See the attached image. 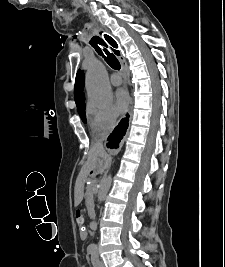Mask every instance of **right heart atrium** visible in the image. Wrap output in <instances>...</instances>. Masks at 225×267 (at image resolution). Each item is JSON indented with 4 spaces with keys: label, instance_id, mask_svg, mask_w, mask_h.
<instances>
[{
    "label": "right heart atrium",
    "instance_id": "right-heart-atrium-1",
    "mask_svg": "<svg viewBox=\"0 0 225 267\" xmlns=\"http://www.w3.org/2000/svg\"><path fill=\"white\" fill-rule=\"evenodd\" d=\"M87 116L94 134L110 132L117 123V113L109 104L89 102L87 105Z\"/></svg>",
    "mask_w": 225,
    "mask_h": 267
}]
</instances>
